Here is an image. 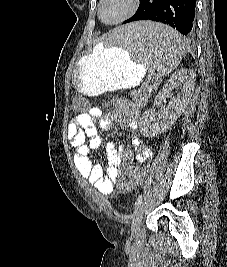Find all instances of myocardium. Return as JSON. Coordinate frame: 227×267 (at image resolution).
I'll use <instances>...</instances> for the list:
<instances>
[{"mask_svg": "<svg viewBox=\"0 0 227 267\" xmlns=\"http://www.w3.org/2000/svg\"><path fill=\"white\" fill-rule=\"evenodd\" d=\"M105 2H106V0H99L98 17L103 23H105L107 25L119 24V23H122V22L126 21L127 19L131 18L138 11L140 4H141V0H130V6H129L128 10L122 16H120L118 19H115L113 21H105L103 19V16H102L103 4Z\"/></svg>", "mask_w": 227, "mask_h": 267, "instance_id": "myocardium-1", "label": "myocardium"}]
</instances>
